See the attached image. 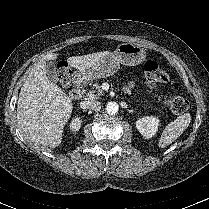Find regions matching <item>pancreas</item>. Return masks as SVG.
Returning <instances> with one entry per match:
<instances>
[{"instance_id": "obj_1", "label": "pancreas", "mask_w": 209, "mask_h": 209, "mask_svg": "<svg viewBox=\"0 0 209 209\" xmlns=\"http://www.w3.org/2000/svg\"><path fill=\"white\" fill-rule=\"evenodd\" d=\"M95 92H97V94H95ZM103 95V91L101 90V86L97 83L93 84V90L89 91L86 94V98L87 100H95L98 99L100 96Z\"/></svg>"}]
</instances>
